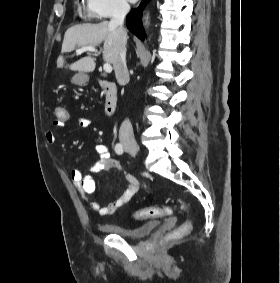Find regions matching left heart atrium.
Segmentation results:
<instances>
[{
	"instance_id": "obj_1",
	"label": "left heart atrium",
	"mask_w": 280,
	"mask_h": 283,
	"mask_svg": "<svg viewBox=\"0 0 280 283\" xmlns=\"http://www.w3.org/2000/svg\"><path fill=\"white\" fill-rule=\"evenodd\" d=\"M130 2H132V3H135L137 0H129Z\"/></svg>"
}]
</instances>
